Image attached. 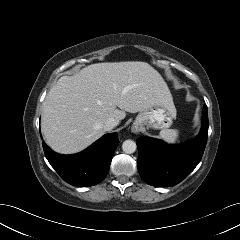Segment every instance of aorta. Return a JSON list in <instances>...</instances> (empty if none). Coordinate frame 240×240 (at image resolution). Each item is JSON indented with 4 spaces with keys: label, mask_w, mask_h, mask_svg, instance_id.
Here are the masks:
<instances>
[{
    "label": "aorta",
    "mask_w": 240,
    "mask_h": 240,
    "mask_svg": "<svg viewBox=\"0 0 240 240\" xmlns=\"http://www.w3.org/2000/svg\"><path fill=\"white\" fill-rule=\"evenodd\" d=\"M136 148V143L133 140H125L122 144V150L127 154L134 153Z\"/></svg>",
    "instance_id": "obj_1"
}]
</instances>
